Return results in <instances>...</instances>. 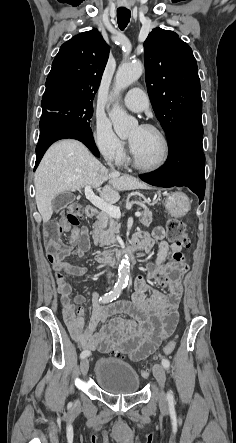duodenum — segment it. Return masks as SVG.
I'll return each mask as SVG.
<instances>
[{
	"label": "duodenum",
	"instance_id": "obj_1",
	"mask_svg": "<svg viewBox=\"0 0 236 443\" xmlns=\"http://www.w3.org/2000/svg\"><path fill=\"white\" fill-rule=\"evenodd\" d=\"M86 215L89 218H93L96 215L95 207L90 204L86 208ZM139 256V251L135 248H132L130 253L128 254L129 260L135 261ZM125 254H116V253H107V252H97L96 260L99 264H119L121 261L125 259Z\"/></svg>",
	"mask_w": 236,
	"mask_h": 443
}]
</instances>
